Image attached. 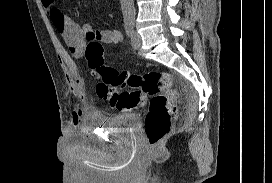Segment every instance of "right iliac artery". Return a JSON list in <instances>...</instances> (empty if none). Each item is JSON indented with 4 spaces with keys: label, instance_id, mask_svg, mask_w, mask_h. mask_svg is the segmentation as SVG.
Here are the masks:
<instances>
[{
    "label": "right iliac artery",
    "instance_id": "1",
    "mask_svg": "<svg viewBox=\"0 0 272 183\" xmlns=\"http://www.w3.org/2000/svg\"><path fill=\"white\" fill-rule=\"evenodd\" d=\"M125 31H126V35L128 37H131L133 34V25L132 24H126L125 25Z\"/></svg>",
    "mask_w": 272,
    "mask_h": 183
}]
</instances>
